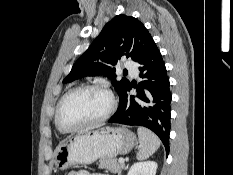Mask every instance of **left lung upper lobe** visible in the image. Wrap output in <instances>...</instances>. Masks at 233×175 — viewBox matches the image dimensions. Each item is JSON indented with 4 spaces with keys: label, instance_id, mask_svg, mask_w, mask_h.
Returning <instances> with one entry per match:
<instances>
[{
    "label": "left lung upper lobe",
    "instance_id": "1",
    "mask_svg": "<svg viewBox=\"0 0 233 175\" xmlns=\"http://www.w3.org/2000/svg\"><path fill=\"white\" fill-rule=\"evenodd\" d=\"M154 44L150 33L138 19L118 15L104 26L88 50L75 62L63 83L104 74L112 80V85L121 97L130 82L124 78L115 80V69L111 66L116 65L123 55L139 63Z\"/></svg>",
    "mask_w": 233,
    "mask_h": 175
}]
</instances>
